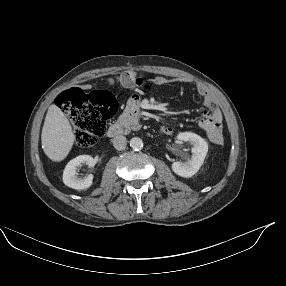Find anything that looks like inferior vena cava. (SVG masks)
I'll list each match as a JSON object with an SVG mask.
<instances>
[{
  "label": "inferior vena cava",
  "mask_w": 286,
  "mask_h": 286,
  "mask_svg": "<svg viewBox=\"0 0 286 286\" xmlns=\"http://www.w3.org/2000/svg\"><path fill=\"white\" fill-rule=\"evenodd\" d=\"M113 146L117 150L125 149L127 145V140L123 135H118L112 139Z\"/></svg>",
  "instance_id": "1"
}]
</instances>
